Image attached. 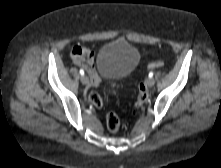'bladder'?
<instances>
[{
	"instance_id": "1",
	"label": "bladder",
	"mask_w": 221,
	"mask_h": 168,
	"mask_svg": "<svg viewBox=\"0 0 221 168\" xmlns=\"http://www.w3.org/2000/svg\"><path fill=\"white\" fill-rule=\"evenodd\" d=\"M138 50L124 40H115L103 45L97 54L99 72L108 79L122 78L138 65Z\"/></svg>"
}]
</instances>
